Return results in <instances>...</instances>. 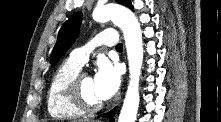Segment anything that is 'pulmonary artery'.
Wrapping results in <instances>:
<instances>
[{"label":"pulmonary artery","mask_w":221,"mask_h":122,"mask_svg":"<svg viewBox=\"0 0 221 122\" xmlns=\"http://www.w3.org/2000/svg\"><path fill=\"white\" fill-rule=\"evenodd\" d=\"M118 42L117 34L112 29H106L97 34L93 40L82 48L75 49L70 56V59L79 66L87 61L90 52L97 46L106 45L109 47L116 46Z\"/></svg>","instance_id":"pulmonary-artery-1"}]
</instances>
